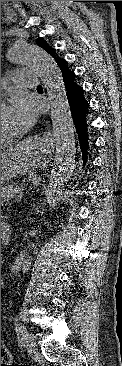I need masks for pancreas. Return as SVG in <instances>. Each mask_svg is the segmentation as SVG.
<instances>
[{
    "instance_id": "obj_1",
    "label": "pancreas",
    "mask_w": 122,
    "mask_h": 366,
    "mask_svg": "<svg viewBox=\"0 0 122 366\" xmlns=\"http://www.w3.org/2000/svg\"><path fill=\"white\" fill-rule=\"evenodd\" d=\"M16 190L21 191L23 189L16 184H10L8 186L1 187V200H6L11 195H14Z\"/></svg>"
}]
</instances>
